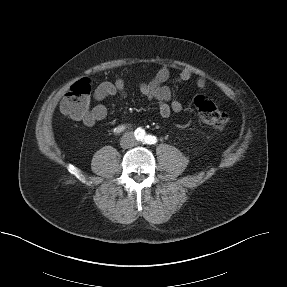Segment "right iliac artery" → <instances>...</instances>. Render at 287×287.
I'll return each instance as SVG.
<instances>
[{"mask_svg": "<svg viewBox=\"0 0 287 287\" xmlns=\"http://www.w3.org/2000/svg\"><path fill=\"white\" fill-rule=\"evenodd\" d=\"M123 129H124V127L122 126V127L117 129V132H121V131H123ZM134 134H135V137L141 141L145 137V131L141 128H138L137 130H135Z\"/></svg>", "mask_w": 287, "mask_h": 287, "instance_id": "right-iliac-artery-1", "label": "right iliac artery"}]
</instances>
